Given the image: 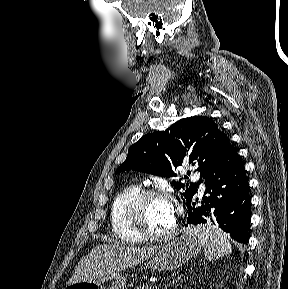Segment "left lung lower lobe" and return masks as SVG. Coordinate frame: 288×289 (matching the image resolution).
Returning <instances> with one entry per match:
<instances>
[{
	"label": "left lung lower lobe",
	"instance_id": "0a47b994",
	"mask_svg": "<svg viewBox=\"0 0 288 289\" xmlns=\"http://www.w3.org/2000/svg\"><path fill=\"white\" fill-rule=\"evenodd\" d=\"M204 184L206 196L201 205H197V199L187 204V223L212 222L236 241L246 244L250 224L249 183L237 150L230 142Z\"/></svg>",
	"mask_w": 288,
	"mask_h": 289
}]
</instances>
